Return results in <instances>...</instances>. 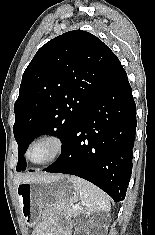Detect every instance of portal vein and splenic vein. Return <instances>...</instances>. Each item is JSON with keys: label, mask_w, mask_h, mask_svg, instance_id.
Here are the masks:
<instances>
[{"label": "portal vein and splenic vein", "mask_w": 155, "mask_h": 235, "mask_svg": "<svg viewBox=\"0 0 155 235\" xmlns=\"http://www.w3.org/2000/svg\"><path fill=\"white\" fill-rule=\"evenodd\" d=\"M72 209H73L74 211H77V210H79V209H82V207L79 206V205H75V206L72 207Z\"/></svg>", "instance_id": "18ae733b"}]
</instances>
